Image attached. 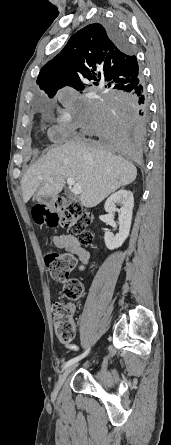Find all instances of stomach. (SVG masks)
Here are the masks:
<instances>
[{"label":"stomach","mask_w":171,"mask_h":445,"mask_svg":"<svg viewBox=\"0 0 171 445\" xmlns=\"http://www.w3.org/2000/svg\"><path fill=\"white\" fill-rule=\"evenodd\" d=\"M36 200L44 202L46 205H48L50 208H52L54 206V204H55L56 198L53 197V196H51V197L50 196H45V197L38 196L36 198Z\"/></svg>","instance_id":"0dacf381"}]
</instances>
